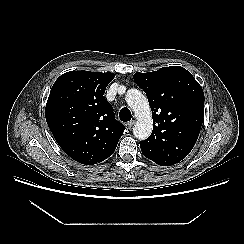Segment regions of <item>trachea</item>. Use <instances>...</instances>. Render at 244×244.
<instances>
[{
  "instance_id": "3493384b",
  "label": "trachea",
  "mask_w": 244,
  "mask_h": 244,
  "mask_svg": "<svg viewBox=\"0 0 244 244\" xmlns=\"http://www.w3.org/2000/svg\"><path fill=\"white\" fill-rule=\"evenodd\" d=\"M119 117L121 121L127 122L131 120L132 114L128 108L124 107L120 110Z\"/></svg>"
}]
</instances>
